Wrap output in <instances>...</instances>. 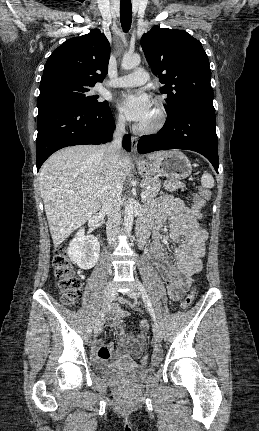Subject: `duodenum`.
I'll return each instance as SVG.
<instances>
[{
	"instance_id": "1",
	"label": "duodenum",
	"mask_w": 259,
	"mask_h": 431,
	"mask_svg": "<svg viewBox=\"0 0 259 431\" xmlns=\"http://www.w3.org/2000/svg\"><path fill=\"white\" fill-rule=\"evenodd\" d=\"M148 232H149V229L146 223L142 222L138 225V237H139L140 246L144 245V243L146 242L148 237Z\"/></svg>"
}]
</instances>
